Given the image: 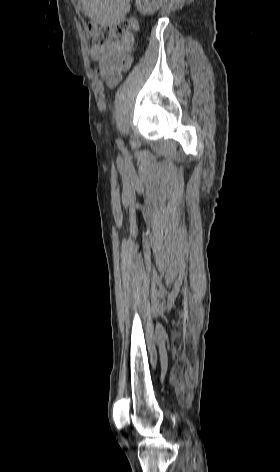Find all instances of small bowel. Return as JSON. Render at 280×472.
Here are the masks:
<instances>
[{
    "label": "small bowel",
    "mask_w": 280,
    "mask_h": 472,
    "mask_svg": "<svg viewBox=\"0 0 280 472\" xmlns=\"http://www.w3.org/2000/svg\"><path fill=\"white\" fill-rule=\"evenodd\" d=\"M131 27L138 31L139 23L136 19L130 20ZM136 46V38L128 33L116 42L107 46H93L90 50L91 58L98 63L97 73L104 80L105 84L113 88L122 78V71L127 69L132 61V53ZM126 61L127 65L121 64Z\"/></svg>",
    "instance_id": "1"
}]
</instances>
